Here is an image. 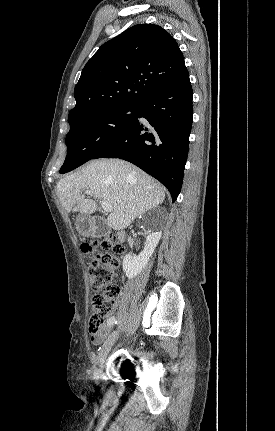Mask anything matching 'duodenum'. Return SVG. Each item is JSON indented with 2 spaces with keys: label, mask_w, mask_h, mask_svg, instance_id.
Returning a JSON list of instances; mask_svg holds the SVG:
<instances>
[{
  "label": "duodenum",
  "mask_w": 275,
  "mask_h": 431,
  "mask_svg": "<svg viewBox=\"0 0 275 431\" xmlns=\"http://www.w3.org/2000/svg\"><path fill=\"white\" fill-rule=\"evenodd\" d=\"M89 232L93 236H97V235L100 234V230H99L98 226L95 225V224H91L89 226ZM125 237H126V235H125V233L123 231H118L117 232V238H118L119 241L123 242L125 240Z\"/></svg>",
  "instance_id": "1"
}]
</instances>
